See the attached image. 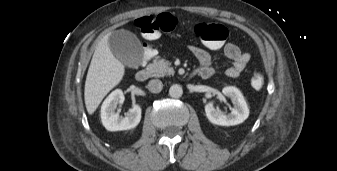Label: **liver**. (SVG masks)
Returning a JSON list of instances; mask_svg holds the SVG:
<instances>
[{
    "label": "liver",
    "mask_w": 337,
    "mask_h": 171,
    "mask_svg": "<svg viewBox=\"0 0 337 171\" xmlns=\"http://www.w3.org/2000/svg\"><path fill=\"white\" fill-rule=\"evenodd\" d=\"M108 40L109 35L100 40L88 69L84 99L89 114L95 112L103 98L124 76V65L111 52Z\"/></svg>",
    "instance_id": "6515ba94"
}]
</instances>
